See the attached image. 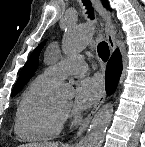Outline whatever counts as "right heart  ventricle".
Returning a JSON list of instances; mask_svg holds the SVG:
<instances>
[{
    "instance_id": "obj_1",
    "label": "right heart ventricle",
    "mask_w": 145,
    "mask_h": 147,
    "mask_svg": "<svg viewBox=\"0 0 145 147\" xmlns=\"http://www.w3.org/2000/svg\"><path fill=\"white\" fill-rule=\"evenodd\" d=\"M55 82L40 74L24 90L15 115L14 129L19 138L45 141L59 134L63 117L50 99Z\"/></svg>"
}]
</instances>
